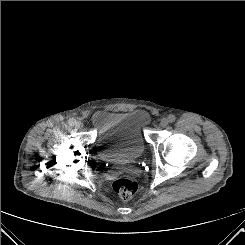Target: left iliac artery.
I'll use <instances>...</instances> for the list:
<instances>
[{
  "instance_id": "1",
  "label": "left iliac artery",
  "mask_w": 245,
  "mask_h": 245,
  "mask_svg": "<svg viewBox=\"0 0 245 245\" xmlns=\"http://www.w3.org/2000/svg\"><path fill=\"white\" fill-rule=\"evenodd\" d=\"M168 120H169L170 123H173V122H175L176 117L174 115H169L168 116Z\"/></svg>"
}]
</instances>
